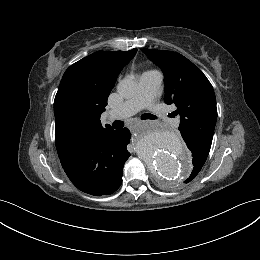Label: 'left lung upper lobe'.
Returning <instances> with one entry per match:
<instances>
[{
	"label": "left lung upper lobe",
	"mask_w": 260,
	"mask_h": 260,
	"mask_svg": "<svg viewBox=\"0 0 260 260\" xmlns=\"http://www.w3.org/2000/svg\"><path fill=\"white\" fill-rule=\"evenodd\" d=\"M142 51L164 73V101L176 105L174 113L180 115L179 130L184 141L186 144L192 142L209 153L217 120L216 97L211 83L199 68L179 53ZM197 160L200 171L206 159Z\"/></svg>",
	"instance_id": "left-lung-upper-lobe-1"
}]
</instances>
